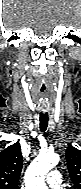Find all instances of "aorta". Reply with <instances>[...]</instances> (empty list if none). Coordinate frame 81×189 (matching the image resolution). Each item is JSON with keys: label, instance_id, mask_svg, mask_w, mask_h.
<instances>
[{"label": "aorta", "instance_id": "1", "mask_svg": "<svg viewBox=\"0 0 81 189\" xmlns=\"http://www.w3.org/2000/svg\"><path fill=\"white\" fill-rule=\"evenodd\" d=\"M59 155L55 153L40 154L29 165L25 173V189H48L45 175L59 162Z\"/></svg>", "mask_w": 81, "mask_h": 189}]
</instances>
